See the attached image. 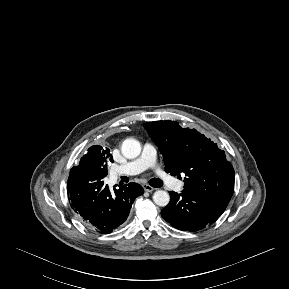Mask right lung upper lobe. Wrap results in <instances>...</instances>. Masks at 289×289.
I'll return each instance as SVG.
<instances>
[{"label":"right lung upper lobe","mask_w":289,"mask_h":289,"mask_svg":"<svg viewBox=\"0 0 289 289\" xmlns=\"http://www.w3.org/2000/svg\"><path fill=\"white\" fill-rule=\"evenodd\" d=\"M100 161H104V164L106 165L107 161L113 162L112 154H110L108 148L104 149L101 146L94 145L88 149L87 154L81 158L79 166H76V168L98 176L95 169L98 167Z\"/></svg>","instance_id":"cb5924a9"}]
</instances>
